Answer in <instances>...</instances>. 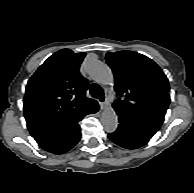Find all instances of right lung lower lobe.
Listing matches in <instances>:
<instances>
[{
    "label": "right lung lower lobe",
    "instance_id": "right-lung-lower-lobe-1",
    "mask_svg": "<svg viewBox=\"0 0 194 193\" xmlns=\"http://www.w3.org/2000/svg\"><path fill=\"white\" fill-rule=\"evenodd\" d=\"M98 109L99 105L95 103L83 112L67 118L58 124L31 131L30 133L38 145L44 150L54 154L65 153L80 140L79 122L84 116L96 113Z\"/></svg>",
    "mask_w": 194,
    "mask_h": 193
}]
</instances>
